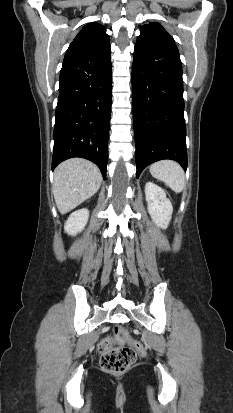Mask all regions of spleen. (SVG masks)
<instances>
[{
	"label": "spleen",
	"instance_id": "3e777b00",
	"mask_svg": "<svg viewBox=\"0 0 233 413\" xmlns=\"http://www.w3.org/2000/svg\"><path fill=\"white\" fill-rule=\"evenodd\" d=\"M151 175L163 181L174 192L180 193L184 189L185 178L182 167L172 160H161L150 166Z\"/></svg>",
	"mask_w": 233,
	"mask_h": 413
}]
</instances>
